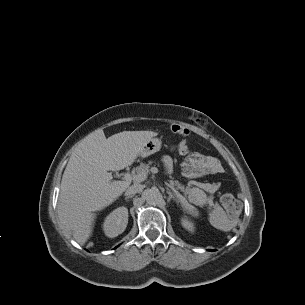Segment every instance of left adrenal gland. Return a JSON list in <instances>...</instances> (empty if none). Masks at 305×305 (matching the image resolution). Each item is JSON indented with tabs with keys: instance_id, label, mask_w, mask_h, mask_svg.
<instances>
[{
	"instance_id": "obj_1",
	"label": "left adrenal gland",
	"mask_w": 305,
	"mask_h": 305,
	"mask_svg": "<svg viewBox=\"0 0 305 305\" xmlns=\"http://www.w3.org/2000/svg\"><path fill=\"white\" fill-rule=\"evenodd\" d=\"M168 186H170V185H168ZM171 187V186H170ZM171 189L173 190V191H175V189L173 188V187H171ZM167 193H168V195H169V198H168V200L170 201L171 199H174V200H176L178 203H179V200H177V198L175 197V195L169 190V189H167Z\"/></svg>"
}]
</instances>
